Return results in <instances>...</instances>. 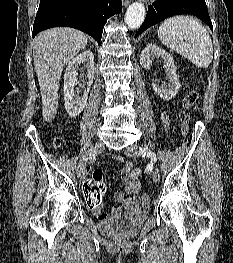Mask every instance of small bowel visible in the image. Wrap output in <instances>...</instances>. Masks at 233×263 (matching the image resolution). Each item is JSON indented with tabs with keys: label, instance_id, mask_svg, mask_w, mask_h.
<instances>
[{
	"label": "small bowel",
	"instance_id": "1",
	"mask_svg": "<svg viewBox=\"0 0 233 263\" xmlns=\"http://www.w3.org/2000/svg\"><path fill=\"white\" fill-rule=\"evenodd\" d=\"M161 120L164 125V128L168 129L169 118L166 113L163 112L161 114ZM114 160L117 163L123 162L120 156H115ZM141 176H142L141 169L134 168L132 163L130 162L123 163L121 169V178L123 183L125 184V188L123 190L116 192L114 195L116 202L120 204V207L117 210L135 208L139 206L140 200L138 197V193L141 190V182H140ZM91 209L100 220H104L107 218V215L102 211L100 202L96 208H91Z\"/></svg>",
	"mask_w": 233,
	"mask_h": 263
}]
</instances>
